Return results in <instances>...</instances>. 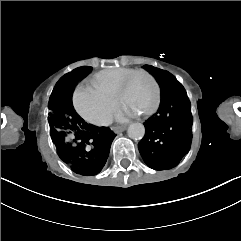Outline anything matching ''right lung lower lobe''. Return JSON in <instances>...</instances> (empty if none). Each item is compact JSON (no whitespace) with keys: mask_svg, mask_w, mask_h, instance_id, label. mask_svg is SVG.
<instances>
[{"mask_svg":"<svg viewBox=\"0 0 241 241\" xmlns=\"http://www.w3.org/2000/svg\"><path fill=\"white\" fill-rule=\"evenodd\" d=\"M90 71L88 67H80L69 73L66 77L69 92L72 93L78 81ZM63 110L67 128L73 134V141L56 144L59 157L77 174H98L107 161L116 135L109 128L87 124L76 113L73 105H66Z\"/></svg>","mask_w":241,"mask_h":241,"instance_id":"right-lung-lower-lobe-1","label":"right lung lower lobe"}]
</instances>
